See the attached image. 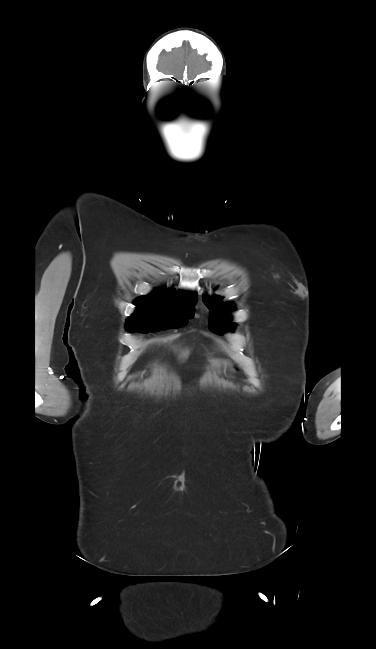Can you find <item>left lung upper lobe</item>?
Instances as JSON below:
<instances>
[{
    "mask_svg": "<svg viewBox=\"0 0 376 649\" xmlns=\"http://www.w3.org/2000/svg\"><path fill=\"white\" fill-rule=\"evenodd\" d=\"M202 299L211 310L209 321L210 330L220 335L226 330L233 332L235 324L231 322V318L226 313L232 311L235 305L232 302L223 303L222 298L219 296L209 297L204 295Z\"/></svg>",
    "mask_w": 376,
    "mask_h": 649,
    "instance_id": "5c2ea615",
    "label": "left lung upper lobe"
}]
</instances>
